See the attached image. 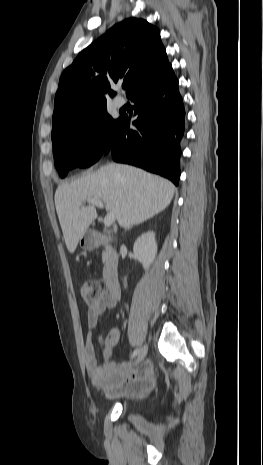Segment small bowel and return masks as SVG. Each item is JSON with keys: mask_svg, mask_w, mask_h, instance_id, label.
I'll return each instance as SVG.
<instances>
[{"mask_svg": "<svg viewBox=\"0 0 263 465\" xmlns=\"http://www.w3.org/2000/svg\"><path fill=\"white\" fill-rule=\"evenodd\" d=\"M120 295L114 296L110 292L97 304L89 307L87 312L88 334L84 345L86 369L92 384L109 396H123L144 392L153 386V367L145 363L140 367L129 370L124 363L102 369L97 362L93 343V329L96 327L100 315L107 309L117 306ZM119 339V332L113 330L107 337L108 345L114 346Z\"/></svg>", "mask_w": 263, "mask_h": 465, "instance_id": "c3829d8e", "label": "small bowel"}]
</instances>
